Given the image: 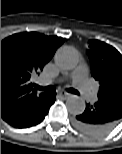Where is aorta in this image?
<instances>
[{
    "instance_id": "obj_1",
    "label": "aorta",
    "mask_w": 122,
    "mask_h": 154,
    "mask_svg": "<svg viewBox=\"0 0 122 154\" xmlns=\"http://www.w3.org/2000/svg\"><path fill=\"white\" fill-rule=\"evenodd\" d=\"M56 65L63 70H72L79 63L77 50L70 46H63L58 49L55 55ZM66 107L69 113L79 115L85 110V101L76 95H71L66 100Z\"/></svg>"
}]
</instances>
